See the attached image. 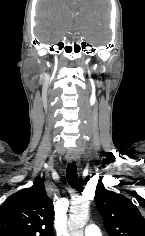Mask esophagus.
Instances as JSON below:
<instances>
[{
  "label": "esophagus",
  "mask_w": 145,
  "mask_h": 236,
  "mask_svg": "<svg viewBox=\"0 0 145 236\" xmlns=\"http://www.w3.org/2000/svg\"><path fill=\"white\" fill-rule=\"evenodd\" d=\"M66 157H67V160L69 162H73V161H77L78 160V155H77V153L74 150L68 151Z\"/></svg>",
  "instance_id": "obj_1"
}]
</instances>
